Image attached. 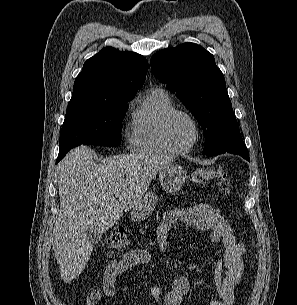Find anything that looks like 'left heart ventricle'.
<instances>
[{
	"mask_svg": "<svg viewBox=\"0 0 297 305\" xmlns=\"http://www.w3.org/2000/svg\"><path fill=\"white\" fill-rule=\"evenodd\" d=\"M169 134L176 146L185 147L193 141L195 130L188 118L177 115L170 123Z\"/></svg>",
	"mask_w": 297,
	"mask_h": 305,
	"instance_id": "obj_1",
	"label": "left heart ventricle"
}]
</instances>
